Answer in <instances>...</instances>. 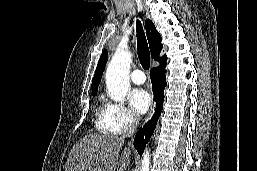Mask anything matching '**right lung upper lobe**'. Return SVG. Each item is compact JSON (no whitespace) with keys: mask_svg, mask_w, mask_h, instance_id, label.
I'll list each match as a JSON object with an SVG mask.
<instances>
[{"mask_svg":"<svg viewBox=\"0 0 257 171\" xmlns=\"http://www.w3.org/2000/svg\"><path fill=\"white\" fill-rule=\"evenodd\" d=\"M145 29H146L147 39L149 42L152 58L159 61L160 63L166 62V59H167L166 55L159 57V54L162 50L163 45L161 44V36L157 32L151 20L147 19L145 21ZM107 60H108V52L107 50H104L100 56V59L95 71V75L92 80L91 88H92L93 94L97 93L98 85L101 81V75L103 74Z\"/></svg>","mask_w":257,"mask_h":171,"instance_id":"right-lung-upper-lobe-1","label":"right lung upper lobe"}]
</instances>
